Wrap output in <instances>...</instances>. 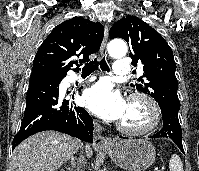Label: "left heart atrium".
<instances>
[{
  "label": "left heart atrium",
  "mask_w": 199,
  "mask_h": 171,
  "mask_svg": "<svg viewBox=\"0 0 199 171\" xmlns=\"http://www.w3.org/2000/svg\"><path fill=\"white\" fill-rule=\"evenodd\" d=\"M82 102L92 113L108 121L121 120L127 108L120 92L107 82L97 83L87 89Z\"/></svg>",
  "instance_id": "left-heart-atrium-1"
}]
</instances>
